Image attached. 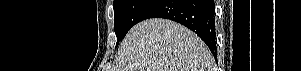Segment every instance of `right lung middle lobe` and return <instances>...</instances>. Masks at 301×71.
Returning a JSON list of instances; mask_svg holds the SVG:
<instances>
[{
    "label": "right lung middle lobe",
    "mask_w": 301,
    "mask_h": 71,
    "mask_svg": "<svg viewBox=\"0 0 301 71\" xmlns=\"http://www.w3.org/2000/svg\"><path fill=\"white\" fill-rule=\"evenodd\" d=\"M155 0H114V30L117 36V44L125 37L127 32L136 23L144 11Z\"/></svg>",
    "instance_id": "obj_1"
}]
</instances>
